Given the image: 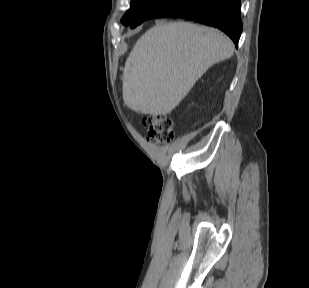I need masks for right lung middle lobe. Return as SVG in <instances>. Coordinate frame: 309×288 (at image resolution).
Segmentation results:
<instances>
[{
    "label": "right lung middle lobe",
    "mask_w": 309,
    "mask_h": 288,
    "mask_svg": "<svg viewBox=\"0 0 309 288\" xmlns=\"http://www.w3.org/2000/svg\"><path fill=\"white\" fill-rule=\"evenodd\" d=\"M170 1L171 0H131V7L123 16L121 22L124 25H130L134 28Z\"/></svg>",
    "instance_id": "obj_1"
}]
</instances>
